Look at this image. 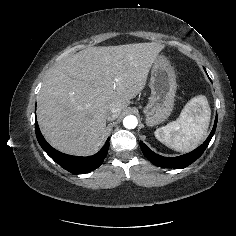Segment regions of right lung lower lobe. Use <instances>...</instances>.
<instances>
[{"instance_id":"98d812e1","label":"right lung lower lobe","mask_w":236,"mask_h":236,"mask_svg":"<svg viewBox=\"0 0 236 236\" xmlns=\"http://www.w3.org/2000/svg\"><path fill=\"white\" fill-rule=\"evenodd\" d=\"M35 131L37 140L43 150L62 168L74 174H83L95 170L103 163L108 153L109 138L103 148L95 155L89 157H78L61 153L51 147L41 134L37 120L35 121Z\"/></svg>"}]
</instances>
